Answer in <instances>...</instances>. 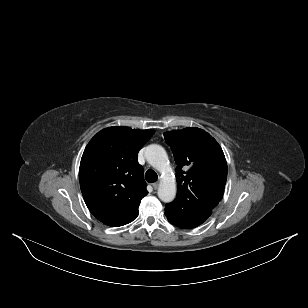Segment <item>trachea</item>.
Instances as JSON below:
<instances>
[{
	"mask_svg": "<svg viewBox=\"0 0 308 308\" xmlns=\"http://www.w3.org/2000/svg\"><path fill=\"white\" fill-rule=\"evenodd\" d=\"M145 179L149 183H154L158 179V176L155 171L148 170L145 174Z\"/></svg>",
	"mask_w": 308,
	"mask_h": 308,
	"instance_id": "3493384b",
	"label": "trachea"
}]
</instances>
